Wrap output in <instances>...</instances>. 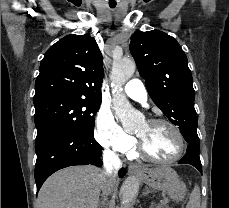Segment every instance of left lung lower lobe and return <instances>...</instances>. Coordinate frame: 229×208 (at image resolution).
<instances>
[{
  "mask_svg": "<svg viewBox=\"0 0 229 208\" xmlns=\"http://www.w3.org/2000/svg\"><path fill=\"white\" fill-rule=\"evenodd\" d=\"M184 139L189 143L185 156L178 162L179 164H190L202 173V165L199 157L200 143L196 130L182 133Z\"/></svg>",
  "mask_w": 229,
  "mask_h": 208,
  "instance_id": "obj_1",
  "label": "left lung lower lobe"
}]
</instances>
